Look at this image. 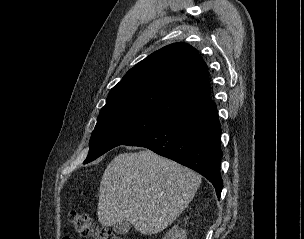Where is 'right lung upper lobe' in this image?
Listing matches in <instances>:
<instances>
[{
    "label": "right lung upper lobe",
    "mask_w": 304,
    "mask_h": 239,
    "mask_svg": "<svg viewBox=\"0 0 304 239\" xmlns=\"http://www.w3.org/2000/svg\"><path fill=\"white\" fill-rule=\"evenodd\" d=\"M209 99L206 63L191 45L173 43L131 68L110 90L100 114L145 109L173 118Z\"/></svg>",
    "instance_id": "right-lung-upper-lobe-1"
}]
</instances>
